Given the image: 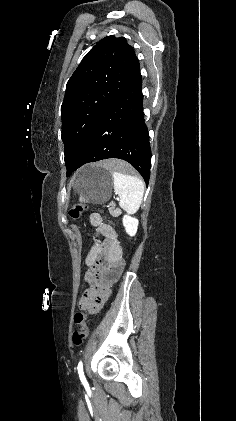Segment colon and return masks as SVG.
<instances>
[{"instance_id": "obj_1", "label": "colon", "mask_w": 236, "mask_h": 421, "mask_svg": "<svg viewBox=\"0 0 236 421\" xmlns=\"http://www.w3.org/2000/svg\"><path fill=\"white\" fill-rule=\"evenodd\" d=\"M88 205L87 204H78L75 205L70 210V215L74 219H78L81 217L83 212L87 210ZM86 299V295L81 300V303L84 302ZM75 324L78 326V328L73 332L72 340L74 345L78 346L82 344V342L87 338L88 336V327H87V317L86 314L83 312L76 313L74 317Z\"/></svg>"}]
</instances>
